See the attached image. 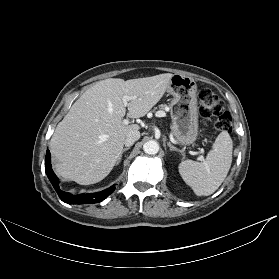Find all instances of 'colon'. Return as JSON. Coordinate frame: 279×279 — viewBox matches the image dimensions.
<instances>
[{
	"mask_svg": "<svg viewBox=\"0 0 279 279\" xmlns=\"http://www.w3.org/2000/svg\"><path fill=\"white\" fill-rule=\"evenodd\" d=\"M200 113L206 120H214L215 127L220 131H230L231 115L225 110L221 99L210 89H201L198 94Z\"/></svg>",
	"mask_w": 279,
	"mask_h": 279,
	"instance_id": "1",
	"label": "colon"
}]
</instances>
